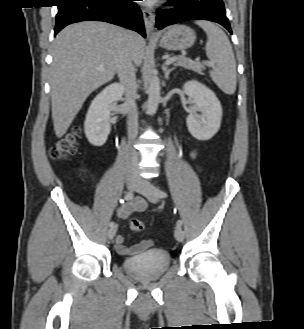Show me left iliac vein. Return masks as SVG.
I'll use <instances>...</instances> for the list:
<instances>
[{
	"instance_id": "left-iliac-vein-1",
	"label": "left iliac vein",
	"mask_w": 304,
	"mask_h": 329,
	"mask_svg": "<svg viewBox=\"0 0 304 329\" xmlns=\"http://www.w3.org/2000/svg\"><path fill=\"white\" fill-rule=\"evenodd\" d=\"M136 191L144 195L151 203H156L159 200L157 188L146 180L141 179L138 182ZM174 235L177 241L182 242L184 240V231L181 226H176Z\"/></svg>"
}]
</instances>
